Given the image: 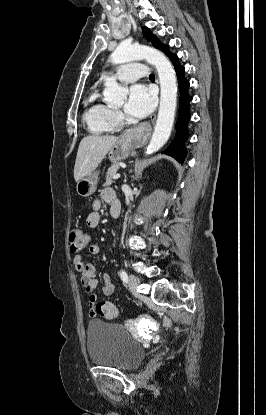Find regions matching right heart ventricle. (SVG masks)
<instances>
[{
    "label": "right heart ventricle",
    "mask_w": 266,
    "mask_h": 415,
    "mask_svg": "<svg viewBox=\"0 0 266 415\" xmlns=\"http://www.w3.org/2000/svg\"><path fill=\"white\" fill-rule=\"evenodd\" d=\"M112 109L101 100L98 91H94L88 98L87 110L84 120L91 131L95 133H107L114 129L110 119Z\"/></svg>",
    "instance_id": "right-heart-ventricle-1"
}]
</instances>
